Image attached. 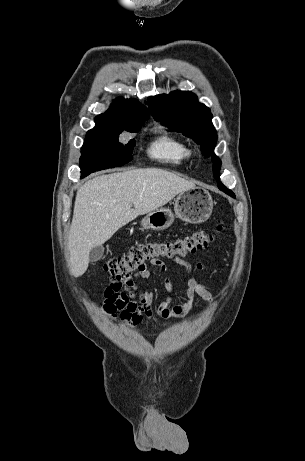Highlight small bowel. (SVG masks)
<instances>
[{
  "mask_svg": "<svg viewBox=\"0 0 305 461\" xmlns=\"http://www.w3.org/2000/svg\"><path fill=\"white\" fill-rule=\"evenodd\" d=\"M176 264L184 268L188 275L186 298L183 304L172 305V297L169 296L162 301L157 307L153 308L154 293L149 287L151 283V274L147 269L137 271L135 278L143 281L148 287L140 289L135 279L129 278L122 281L111 283L104 290V302L102 311L112 319L119 317L122 322L130 325L139 324L143 317L152 320L155 317L168 319L176 316H183L192 308L194 300L199 297L208 305H212L214 297L205 284L198 283L191 273L193 268L205 271L201 262L192 265L179 257L172 259ZM160 271L165 272L167 267L165 263L158 262L154 264ZM163 287L168 293H171L173 286L171 281L165 277L162 281Z\"/></svg>",
  "mask_w": 305,
  "mask_h": 461,
  "instance_id": "c3829d8e",
  "label": "small bowel"
}]
</instances>
